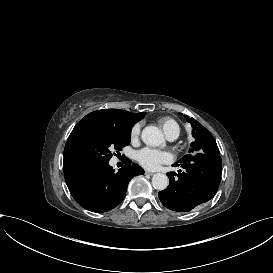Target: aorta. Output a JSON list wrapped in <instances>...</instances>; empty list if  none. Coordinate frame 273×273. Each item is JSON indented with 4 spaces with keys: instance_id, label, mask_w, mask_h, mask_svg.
<instances>
[{
    "instance_id": "aorta-1",
    "label": "aorta",
    "mask_w": 273,
    "mask_h": 273,
    "mask_svg": "<svg viewBox=\"0 0 273 273\" xmlns=\"http://www.w3.org/2000/svg\"><path fill=\"white\" fill-rule=\"evenodd\" d=\"M142 141L151 147L160 146L164 143L162 132L155 126H147L141 134ZM152 185L157 190H165L169 185L168 177L163 173H156L152 177Z\"/></svg>"
}]
</instances>
